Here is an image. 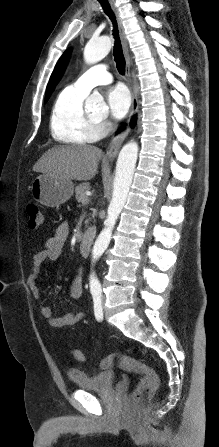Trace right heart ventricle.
<instances>
[{
	"instance_id": "right-heart-ventricle-1",
	"label": "right heart ventricle",
	"mask_w": 219,
	"mask_h": 447,
	"mask_svg": "<svg viewBox=\"0 0 219 447\" xmlns=\"http://www.w3.org/2000/svg\"><path fill=\"white\" fill-rule=\"evenodd\" d=\"M82 95L66 87L57 95L50 116L52 137L64 144L82 145L91 143L101 136L98 126L86 115Z\"/></svg>"
}]
</instances>
